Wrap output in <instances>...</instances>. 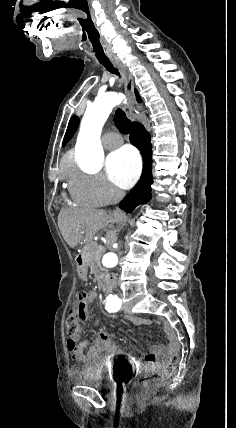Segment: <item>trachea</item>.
<instances>
[{
  "label": "trachea",
  "instance_id": "1",
  "mask_svg": "<svg viewBox=\"0 0 236 428\" xmlns=\"http://www.w3.org/2000/svg\"><path fill=\"white\" fill-rule=\"evenodd\" d=\"M84 23L82 24V29L85 31V34L88 36L90 41V50L95 52V59L98 64H102L108 72L119 75V72L112 63L110 62V57L108 51H104L102 45V40L98 33V29L95 25L94 15L92 13H85L83 15ZM114 121L116 126L122 133H130L131 122L125 115V112L120 108L116 110Z\"/></svg>",
  "mask_w": 236,
  "mask_h": 428
}]
</instances>
